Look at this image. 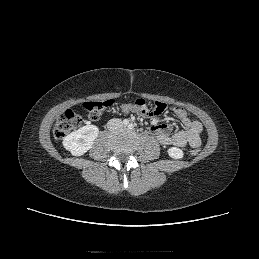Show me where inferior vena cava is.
<instances>
[{"mask_svg":"<svg viewBox=\"0 0 259 259\" xmlns=\"http://www.w3.org/2000/svg\"><path fill=\"white\" fill-rule=\"evenodd\" d=\"M122 126H123V123H122L121 119H116V118L109 120L108 124H107L108 129L111 131L119 129Z\"/></svg>","mask_w":259,"mask_h":259,"instance_id":"inferior-vena-cava-1","label":"inferior vena cava"}]
</instances>
